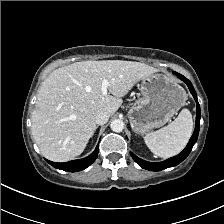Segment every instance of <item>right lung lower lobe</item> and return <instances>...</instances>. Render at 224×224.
<instances>
[{
	"mask_svg": "<svg viewBox=\"0 0 224 224\" xmlns=\"http://www.w3.org/2000/svg\"><path fill=\"white\" fill-rule=\"evenodd\" d=\"M97 155L98 147H96L95 151L91 155L83 159L69 161L66 163H55L48 160L47 162L57 169H61L68 172H77L89 167L96 160Z\"/></svg>",
	"mask_w": 224,
	"mask_h": 224,
	"instance_id": "1",
	"label": "right lung lower lobe"
}]
</instances>
